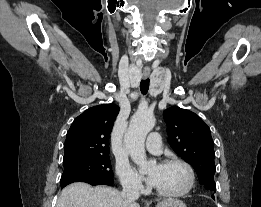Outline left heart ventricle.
<instances>
[{"instance_id": "obj_1", "label": "left heart ventricle", "mask_w": 261, "mask_h": 207, "mask_svg": "<svg viewBox=\"0 0 261 207\" xmlns=\"http://www.w3.org/2000/svg\"><path fill=\"white\" fill-rule=\"evenodd\" d=\"M150 175H155L154 186L165 192H176L184 188L187 174L180 165H154Z\"/></svg>"}]
</instances>
